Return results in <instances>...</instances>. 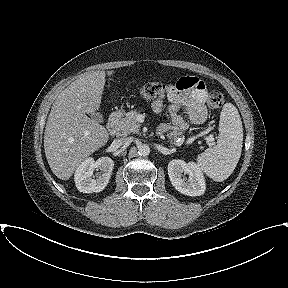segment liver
<instances>
[{
	"label": "liver",
	"instance_id": "6515ba94",
	"mask_svg": "<svg viewBox=\"0 0 288 288\" xmlns=\"http://www.w3.org/2000/svg\"><path fill=\"white\" fill-rule=\"evenodd\" d=\"M113 73L108 71L107 75ZM105 76V71L80 75L52 105L44 133V150L52 172L59 179H69L81 162L109 139L105 127L86 115L100 107Z\"/></svg>",
	"mask_w": 288,
	"mask_h": 288
}]
</instances>
